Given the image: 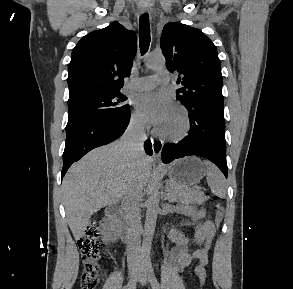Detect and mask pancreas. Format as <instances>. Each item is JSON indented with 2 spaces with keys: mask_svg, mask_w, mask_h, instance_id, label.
<instances>
[{
  "mask_svg": "<svg viewBox=\"0 0 293 289\" xmlns=\"http://www.w3.org/2000/svg\"><path fill=\"white\" fill-rule=\"evenodd\" d=\"M169 202H181L190 204H203L208 197L198 188H190L176 183H170L167 188Z\"/></svg>",
  "mask_w": 293,
  "mask_h": 289,
  "instance_id": "cf45deb5",
  "label": "pancreas"
}]
</instances>
